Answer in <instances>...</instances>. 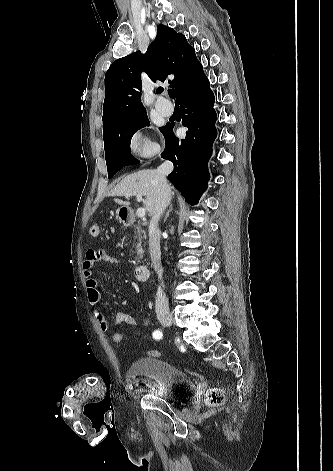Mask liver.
<instances>
[{
	"instance_id": "obj_1",
	"label": "liver",
	"mask_w": 333,
	"mask_h": 471,
	"mask_svg": "<svg viewBox=\"0 0 333 471\" xmlns=\"http://www.w3.org/2000/svg\"><path fill=\"white\" fill-rule=\"evenodd\" d=\"M140 194L145 197L144 206L149 216H153L155 205L160 194V185L156 170L144 169L123 178L108 194L129 198ZM120 205L129 206V201L115 199Z\"/></svg>"
}]
</instances>
